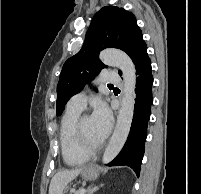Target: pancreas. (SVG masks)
Segmentation results:
<instances>
[{
  "label": "pancreas",
  "instance_id": "pancreas-1",
  "mask_svg": "<svg viewBox=\"0 0 201 194\" xmlns=\"http://www.w3.org/2000/svg\"><path fill=\"white\" fill-rule=\"evenodd\" d=\"M81 190H82V188L79 189L78 191H75L74 194H81Z\"/></svg>",
  "mask_w": 201,
  "mask_h": 194
}]
</instances>
